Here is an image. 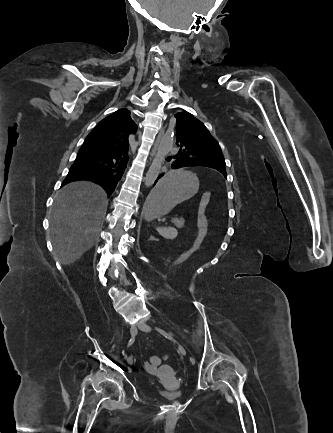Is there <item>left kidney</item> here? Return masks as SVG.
<instances>
[{"instance_id": "1", "label": "left kidney", "mask_w": 333, "mask_h": 433, "mask_svg": "<svg viewBox=\"0 0 333 433\" xmlns=\"http://www.w3.org/2000/svg\"><path fill=\"white\" fill-rule=\"evenodd\" d=\"M173 231L177 232V230L175 228H171Z\"/></svg>"}]
</instances>
